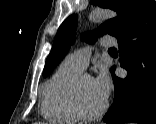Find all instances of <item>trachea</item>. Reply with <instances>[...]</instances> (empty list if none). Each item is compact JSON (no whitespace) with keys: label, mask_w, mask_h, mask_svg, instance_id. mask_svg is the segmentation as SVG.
<instances>
[{"label":"trachea","mask_w":156,"mask_h":124,"mask_svg":"<svg viewBox=\"0 0 156 124\" xmlns=\"http://www.w3.org/2000/svg\"><path fill=\"white\" fill-rule=\"evenodd\" d=\"M109 51H116V49L115 48H110Z\"/></svg>","instance_id":"3493384b"}]
</instances>
